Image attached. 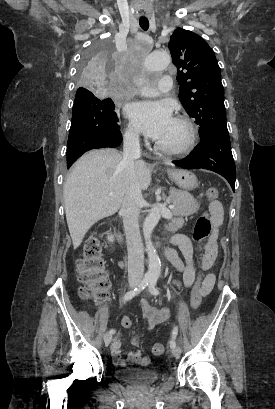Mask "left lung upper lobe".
<instances>
[{"mask_svg":"<svg viewBox=\"0 0 275 409\" xmlns=\"http://www.w3.org/2000/svg\"><path fill=\"white\" fill-rule=\"evenodd\" d=\"M168 46L177 67L180 101L200 126V139L228 132L221 70L213 50L199 35L183 28L173 32Z\"/></svg>","mask_w":275,"mask_h":409,"instance_id":"5c2ea615","label":"left lung upper lobe"}]
</instances>
